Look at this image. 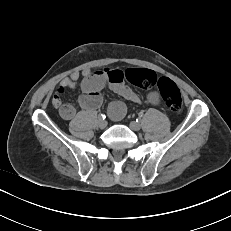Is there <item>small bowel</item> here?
Here are the masks:
<instances>
[{"instance_id": "obj_1", "label": "small bowel", "mask_w": 231, "mask_h": 231, "mask_svg": "<svg viewBox=\"0 0 231 231\" xmlns=\"http://www.w3.org/2000/svg\"><path fill=\"white\" fill-rule=\"evenodd\" d=\"M79 83L82 94L79 96L77 103L86 111L95 110L101 106L102 96L100 91L106 86L126 100L135 103L141 102L139 95L126 84L124 71L116 69L92 71L86 68L81 72H72L62 78L52 98V105L58 109L61 118L65 121H70L76 116V108L72 103H64L62 96L66 89L75 88ZM147 100L153 105H158L161 101L159 93L154 91L147 94ZM124 113V109L120 108L118 104L109 107V114L114 120L121 119Z\"/></svg>"}]
</instances>
